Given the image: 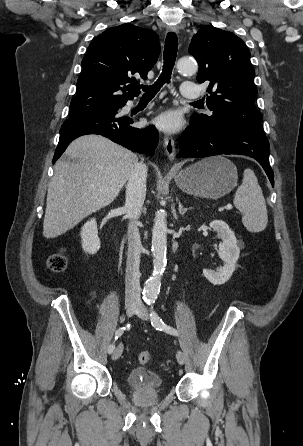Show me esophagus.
<instances>
[{
	"label": "esophagus",
	"instance_id": "esophagus-1",
	"mask_svg": "<svg viewBox=\"0 0 303 446\" xmlns=\"http://www.w3.org/2000/svg\"><path fill=\"white\" fill-rule=\"evenodd\" d=\"M169 31L178 34L179 33V28L176 27V26H173V27L169 28ZM163 145H164L165 152H166V155H167L168 159L170 161H173L175 159V155H176L174 139L169 137V136H164V138H163Z\"/></svg>",
	"mask_w": 303,
	"mask_h": 446
}]
</instances>
